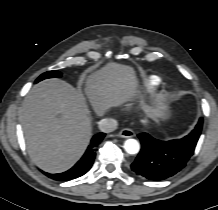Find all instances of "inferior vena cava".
Returning <instances> with one entry per match:
<instances>
[{"label":"inferior vena cava","instance_id":"1","mask_svg":"<svg viewBox=\"0 0 218 210\" xmlns=\"http://www.w3.org/2000/svg\"><path fill=\"white\" fill-rule=\"evenodd\" d=\"M99 129L104 133H110L117 129L118 123L115 119L104 118L98 122Z\"/></svg>","mask_w":218,"mask_h":210}]
</instances>
